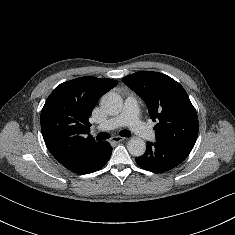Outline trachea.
Instances as JSON below:
<instances>
[{
  "instance_id": "3493384b",
  "label": "trachea",
  "mask_w": 235,
  "mask_h": 235,
  "mask_svg": "<svg viewBox=\"0 0 235 235\" xmlns=\"http://www.w3.org/2000/svg\"><path fill=\"white\" fill-rule=\"evenodd\" d=\"M120 136H122V137H130V136H131V132L128 131V130H122V131L120 132ZM108 138H110V135H109L108 133H104V132L99 133V134L96 136V139H97V140H106V139H108Z\"/></svg>"
}]
</instances>
